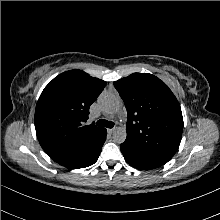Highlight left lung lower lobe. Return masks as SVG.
I'll list each match as a JSON object with an SVG mask.
<instances>
[{"mask_svg":"<svg viewBox=\"0 0 220 220\" xmlns=\"http://www.w3.org/2000/svg\"><path fill=\"white\" fill-rule=\"evenodd\" d=\"M121 152L125 160L133 167L139 169H154L164 165L167 160L147 153L126 142L120 145Z\"/></svg>","mask_w":220,"mask_h":220,"instance_id":"1","label":"left lung lower lobe"}]
</instances>
